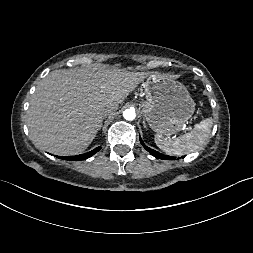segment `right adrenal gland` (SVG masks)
Returning a JSON list of instances; mask_svg holds the SVG:
<instances>
[{
    "label": "right adrenal gland",
    "instance_id": "2a0ac1e0",
    "mask_svg": "<svg viewBox=\"0 0 253 253\" xmlns=\"http://www.w3.org/2000/svg\"><path fill=\"white\" fill-rule=\"evenodd\" d=\"M106 117H104L103 119H105ZM102 126V123H101V125H100V127Z\"/></svg>",
    "mask_w": 253,
    "mask_h": 253
}]
</instances>
